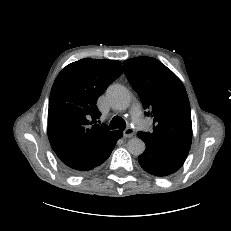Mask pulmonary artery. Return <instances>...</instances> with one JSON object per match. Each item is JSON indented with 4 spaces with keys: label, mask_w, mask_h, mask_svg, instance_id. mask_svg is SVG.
<instances>
[{
    "label": "pulmonary artery",
    "mask_w": 231,
    "mask_h": 231,
    "mask_svg": "<svg viewBox=\"0 0 231 231\" xmlns=\"http://www.w3.org/2000/svg\"><path fill=\"white\" fill-rule=\"evenodd\" d=\"M132 119L136 126H139L143 123V115L140 108V105L136 102L133 104L131 109Z\"/></svg>",
    "instance_id": "pulmonary-artery-1"
}]
</instances>
